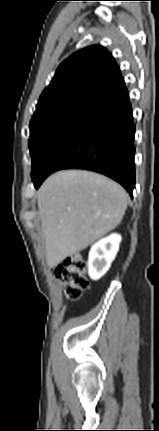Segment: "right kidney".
Here are the masks:
<instances>
[{
    "label": "right kidney",
    "mask_w": 159,
    "mask_h": 431,
    "mask_svg": "<svg viewBox=\"0 0 159 431\" xmlns=\"http://www.w3.org/2000/svg\"><path fill=\"white\" fill-rule=\"evenodd\" d=\"M121 242L119 234H111L95 243L89 252L88 274L92 280L100 279L110 268Z\"/></svg>",
    "instance_id": "right-kidney-1"
}]
</instances>
